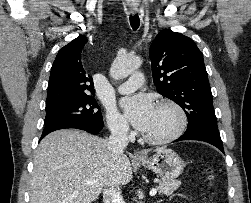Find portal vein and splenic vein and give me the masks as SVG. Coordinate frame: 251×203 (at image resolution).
Wrapping results in <instances>:
<instances>
[{
  "instance_id": "1",
  "label": "portal vein and splenic vein",
  "mask_w": 251,
  "mask_h": 203,
  "mask_svg": "<svg viewBox=\"0 0 251 203\" xmlns=\"http://www.w3.org/2000/svg\"><path fill=\"white\" fill-rule=\"evenodd\" d=\"M85 182L87 184H90V185H94L97 181L96 180H92V179H87L85 180ZM157 193V189L156 188H153L151 191H150V196H155Z\"/></svg>"
}]
</instances>
